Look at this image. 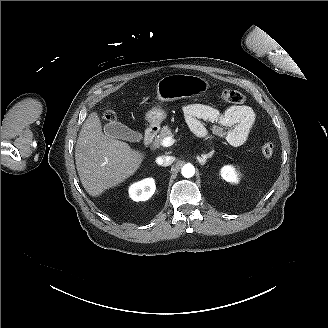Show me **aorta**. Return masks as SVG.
<instances>
[{
    "mask_svg": "<svg viewBox=\"0 0 328 328\" xmlns=\"http://www.w3.org/2000/svg\"><path fill=\"white\" fill-rule=\"evenodd\" d=\"M181 173L185 178H191L195 174V168L192 164H186L182 167Z\"/></svg>",
    "mask_w": 328,
    "mask_h": 328,
    "instance_id": "762f6f07",
    "label": "aorta"
}]
</instances>
